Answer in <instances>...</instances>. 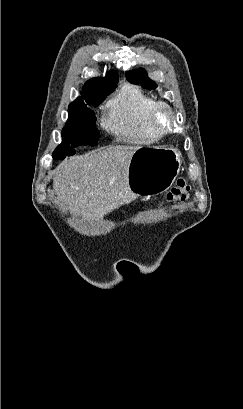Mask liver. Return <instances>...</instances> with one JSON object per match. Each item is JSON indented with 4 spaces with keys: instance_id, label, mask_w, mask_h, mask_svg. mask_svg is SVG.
<instances>
[{
    "instance_id": "liver-1",
    "label": "liver",
    "mask_w": 243,
    "mask_h": 409,
    "mask_svg": "<svg viewBox=\"0 0 243 409\" xmlns=\"http://www.w3.org/2000/svg\"><path fill=\"white\" fill-rule=\"evenodd\" d=\"M139 147L113 146L102 151L74 156L54 171L53 188L74 216L100 221L135 199L128 189V168Z\"/></svg>"
}]
</instances>
